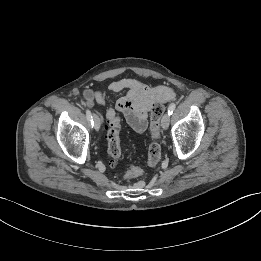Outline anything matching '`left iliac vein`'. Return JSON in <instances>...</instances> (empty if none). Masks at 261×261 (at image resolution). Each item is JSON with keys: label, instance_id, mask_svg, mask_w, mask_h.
<instances>
[{"label": "left iliac vein", "instance_id": "obj_1", "mask_svg": "<svg viewBox=\"0 0 261 261\" xmlns=\"http://www.w3.org/2000/svg\"><path fill=\"white\" fill-rule=\"evenodd\" d=\"M169 122H170V116L168 113H165L162 117V120H161V126L164 130H166L169 126Z\"/></svg>", "mask_w": 261, "mask_h": 261}]
</instances>
